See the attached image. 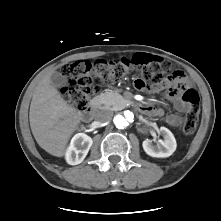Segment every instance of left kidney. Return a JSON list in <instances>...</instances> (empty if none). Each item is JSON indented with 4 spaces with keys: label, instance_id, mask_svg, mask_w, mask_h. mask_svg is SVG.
Segmentation results:
<instances>
[{
    "label": "left kidney",
    "instance_id": "obj_1",
    "mask_svg": "<svg viewBox=\"0 0 221 221\" xmlns=\"http://www.w3.org/2000/svg\"><path fill=\"white\" fill-rule=\"evenodd\" d=\"M160 131L164 140L159 141L156 146L152 145L151 141L148 139L144 140L142 143L144 151L151 157H169L176 150L177 143L172 132L165 127H161Z\"/></svg>",
    "mask_w": 221,
    "mask_h": 221
}]
</instances>
